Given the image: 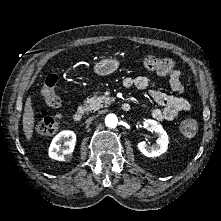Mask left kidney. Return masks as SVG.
<instances>
[{"instance_id": "obj_1", "label": "left kidney", "mask_w": 221, "mask_h": 221, "mask_svg": "<svg viewBox=\"0 0 221 221\" xmlns=\"http://www.w3.org/2000/svg\"><path fill=\"white\" fill-rule=\"evenodd\" d=\"M144 127L155 132L158 139L152 146H148L146 142H139L137 147L140 152L147 157H157L165 153L168 149L169 138L162 126L158 122L148 119L144 121Z\"/></svg>"}]
</instances>
